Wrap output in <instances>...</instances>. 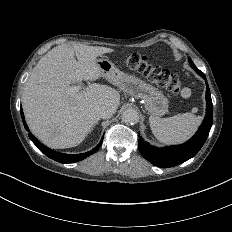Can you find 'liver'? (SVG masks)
I'll return each mask as SVG.
<instances>
[{"label":"liver","instance_id":"obj_1","mask_svg":"<svg viewBox=\"0 0 232 232\" xmlns=\"http://www.w3.org/2000/svg\"><path fill=\"white\" fill-rule=\"evenodd\" d=\"M111 52L106 47L62 44L38 61L24 87L22 107L30 131L45 145L75 147L99 122L98 107L116 112L120 94L107 85L93 83L74 95L68 92L71 83L100 78L96 59Z\"/></svg>","mask_w":232,"mask_h":232}]
</instances>
